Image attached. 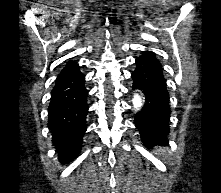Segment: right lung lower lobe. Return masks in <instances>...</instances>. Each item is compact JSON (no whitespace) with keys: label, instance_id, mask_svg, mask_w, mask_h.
<instances>
[{"label":"right lung lower lobe","instance_id":"98d812e1","mask_svg":"<svg viewBox=\"0 0 221 193\" xmlns=\"http://www.w3.org/2000/svg\"><path fill=\"white\" fill-rule=\"evenodd\" d=\"M87 95L85 75L77 67L61 72L51 91L48 127L63 163L73 160L81 150L86 131Z\"/></svg>","mask_w":221,"mask_h":193}]
</instances>
